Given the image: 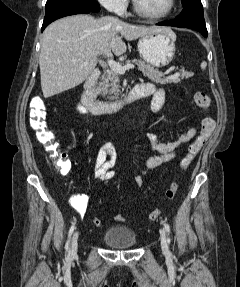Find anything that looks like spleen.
Instances as JSON below:
<instances>
[{
    "instance_id": "spleen-1",
    "label": "spleen",
    "mask_w": 240,
    "mask_h": 287,
    "mask_svg": "<svg viewBox=\"0 0 240 287\" xmlns=\"http://www.w3.org/2000/svg\"><path fill=\"white\" fill-rule=\"evenodd\" d=\"M206 66H207V63L205 61H203L201 63V69L205 70L206 69Z\"/></svg>"
}]
</instances>
